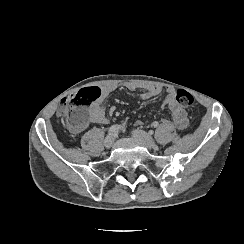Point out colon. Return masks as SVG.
Returning a JSON list of instances; mask_svg holds the SVG:
<instances>
[{"mask_svg": "<svg viewBox=\"0 0 244 244\" xmlns=\"http://www.w3.org/2000/svg\"><path fill=\"white\" fill-rule=\"evenodd\" d=\"M100 97V88L96 85H89L81 91L71 93L68 97V104L60 103L57 115L68 128L81 131L86 126L88 110L85 107L98 101ZM171 103L190 107L194 103V97L187 90L179 88L171 98Z\"/></svg>", "mask_w": 244, "mask_h": 244, "instance_id": "obj_1", "label": "colon"}]
</instances>
